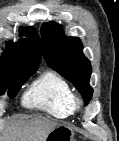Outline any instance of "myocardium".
Instances as JSON below:
<instances>
[{
  "label": "myocardium",
  "mask_w": 119,
  "mask_h": 141,
  "mask_svg": "<svg viewBox=\"0 0 119 141\" xmlns=\"http://www.w3.org/2000/svg\"><path fill=\"white\" fill-rule=\"evenodd\" d=\"M72 105H73V110H78L82 106V100L77 96H73Z\"/></svg>",
  "instance_id": "myocardium-1"
}]
</instances>
